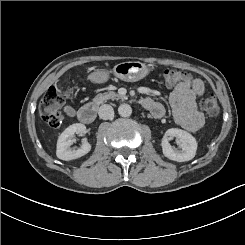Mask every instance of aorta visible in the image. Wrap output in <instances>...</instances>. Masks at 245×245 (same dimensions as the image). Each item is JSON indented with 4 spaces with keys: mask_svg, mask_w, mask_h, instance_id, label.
<instances>
[{
    "mask_svg": "<svg viewBox=\"0 0 245 245\" xmlns=\"http://www.w3.org/2000/svg\"><path fill=\"white\" fill-rule=\"evenodd\" d=\"M118 113L122 117H129L132 114V108L128 104H121L118 108Z\"/></svg>",
    "mask_w": 245,
    "mask_h": 245,
    "instance_id": "aorta-1",
    "label": "aorta"
}]
</instances>
